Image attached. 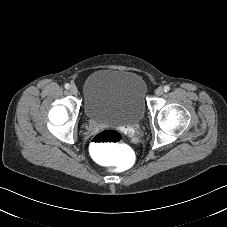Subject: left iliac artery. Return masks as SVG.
<instances>
[{
	"label": "left iliac artery",
	"instance_id": "1",
	"mask_svg": "<svg viewBox=\"0 0 227 227\" xmlns=\"http://www.w3.org/2000/svg\"><path fill=\"white\" fill-rule=\"evenodd\" d=\"M169 90H170V87L168 85L164 86V91L165 92H169Z\"/></svg>",
	"mask_w": 227,
	"mask_h": 227
}]
</instances>
